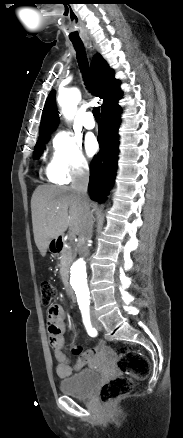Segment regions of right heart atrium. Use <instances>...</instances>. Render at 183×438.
I'll use <instances>...</instances> for the list:
<instances>
[{"label":"right heart atrium","mask_w":183,"mask_h":438,"mask_svg":"<svg viewBox=\"0 0 183 438\" xmlns=\"http://www.w3.org/2000/svg\"><path fill=\"white\" fill-rule=\"evenodd\" d=\"M88 161L79 140L66 131L58 132L52 141V157L48 176L58 183H66L88 170Z\"/></svg>","instance_id":"right-heart-atrium-1"}]
</instances>
